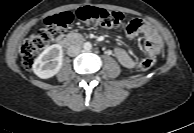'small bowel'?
<instances>
[{
  "label": "small bowel",
  "instance_id": "c3829d8e",
  "mask_svg": "<svg viewBox=\"0 0 194 133\" xmlns=\"http://www.w3.org/2000/svg\"><path fill=\"white\" fill-rule=\"evenodd\" d=\"M125 31L131 39L135 38L139 34L144 36V49L148 56L154 57L160 53L162 40L156 28L150 23L141 19H133L127 24ZM113 54L119 63L125 68L133 69L136 66V61L124 48L116 47Z\"/></svg>",
  "mask_w": 194,
  "mask_h": 133
}]
</instances>
